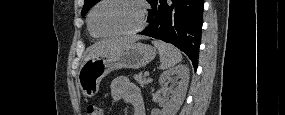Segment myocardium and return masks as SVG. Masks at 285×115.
Segmentation results:
<instances>
[{"label": "myocardium", "mask_w": 285, "mask_h": 115, "mask_svg": "<svg viewBox=\"0 0 285 115\" xmlns=\"http://www.w3.org/2000/svg\"><path fill=\"white\" fill-rule=\"evenodd\" d=\"M107 1H111V0H102L99 3H97L90 11L89 15H88V27L89 30L92 34L102 37V38H106V37H119V36H131V35H135L139 32H141L146 24H147V6L145 4L144 1L142 0H120V1H127L130 2L134 5H136L139 9V15H140V23L138 25L137 28L129 30V31H123V32H98L94 26H93V15L95 13V11L105 2Z\"/></svg>", "instance_id": "myocardium-1"}]
</instances>
